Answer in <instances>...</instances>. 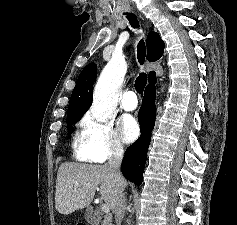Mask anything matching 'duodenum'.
I'll use <instances>...</instances> for the list:
<instances>
[{"label": "duodenum", "instance_id": "410a0bca", "mask_svg": "<svg viewBox=\"0 0 237 225\" xmlns=\"http://www.w3.org/2000/svg\"><path fill=\"white\" fill-rule=\"evenodd\" d=\"M100 225H110L108 222L102 221Z\"/></svg>", "mask_w": 237, "mask_h": 225}]
</instances>
